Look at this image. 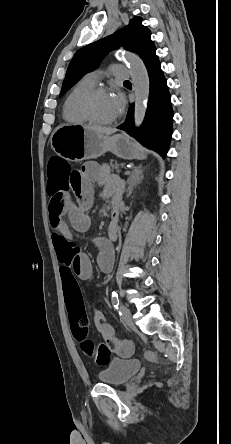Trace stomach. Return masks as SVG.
Masks as SVG:
<instances>
[{"mask_svg":"<svg viewBox=\"0 0 231 444\" xmlns=\"http://www.w3.org/2000/svg\"><path fill=\"white\" fill-rule=\"evenodd\" d=\"M50 141L52 149L67 160L95 159L108 151L124 159L144 158L143 150L126 135H99L77 124L58 126Z\"/></svg>","mask_w":231,"mask_h":444,"instance_id":"0dacf381","label":"stomach"}]
</instances>
